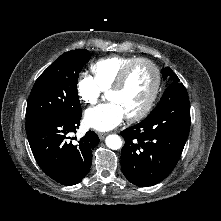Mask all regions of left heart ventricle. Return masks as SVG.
Wrapping results in <instances>:
<instances>
[{"label": "left heart ventricle", "mask_w": 221, "mask_h": 221, "mask_svg": "<svg viewBox=\"0 0 221 221\" xmlns=\"http://www.w3.org/2000/svg\"><path fill=\"white\" fill-rule=\"evenodd\" d=\"M154 85L152 69L143 63L137 64L127 79L125 86L119 91L107 94L110 102H115L122 108L125 116L139 112L150 97Z\"/></svg>", "instance_id": "left-heart-ventricle-1"}]
</instances>
